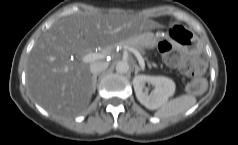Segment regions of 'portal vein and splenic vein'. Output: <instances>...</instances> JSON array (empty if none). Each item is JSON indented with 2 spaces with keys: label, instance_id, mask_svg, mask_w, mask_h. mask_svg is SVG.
I'll use <instances>...</instances> for the list:
<instances>
[{
  "label": "portal vein and splenic vein",
  "instance_id": "portal-vein-and-splenic-vein-1",
  "mask_svg": "<svg viewBox=\"0 0 238 145\" xmlns=\"http://www.w3.org/2000/svg\"><path fill=\"white\" fill-rule=\"evenodd\" d=\"M128 50L131 51L132 53H134V55L137 57V60L140 64V66L142 68H144L145 63H144V59L141 56L140 52L132 47H129ZM106 55H107L106 53H88L82 58V62H84V63L94 62L96 60L106 57Z\"/></svg>",
  "mask_w": 238,
  "mask_h": 145
}]
</instances>
